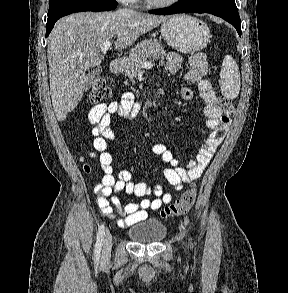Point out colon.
I'll return each instance as SVG.
<instances>
[{
    "label": "colon",
    "mask_w": 288,
    "mask_h": 293,
    "mask_svg": "<svg viewBox=\"0 0 288 293\" xmlns=\"http://www.w3.org/2000/svg\"><path fill=\"white\" fill-rule=\"evenodd\" d=\"M111 95L112 90L106 85V83L103 80H97L92 87L90 99L92 102H100L111 97ZM218 101L224 111V116L229 119V117L234 113V107L231 101L224 97H220ZM85 169L88 170V167L86 166ZM195 198L196 188L193 185L188 190H186L174 203L166 206L161 211V216L163 218H169L187 213L194 204Z\"/></svg>",
    "instance_id": "colon-1"
}]
</instances>
